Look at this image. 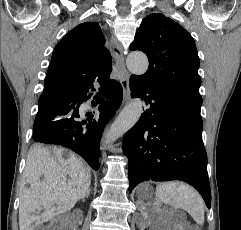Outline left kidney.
<instances>
[{
  "instance_id": "obj_1",
  "label": "left kidney",
  "mask_w": 241,
  "mask_h": 230,
  "mask_svg": "<svg viewBox=\"0 0 241 230\" xmlns=\"http://www.w3.org/2000/svg\"><path fill=\"white\" fill-rule=\"evenodd\" d=\"M153 219H155L154 216L148 215L146 222H145L146 225L151 226L150 230H172L173 229V227L170 225H164V224L157 223V222H156V224H153Z\"/></svg>"
}]
</instances>
